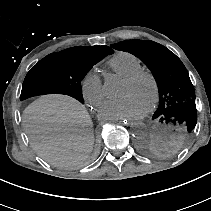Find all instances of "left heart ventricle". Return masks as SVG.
Masks as SVG:
<instances>
[{
	"label": "left heart ventricle",
	"instance_id": "1",
	"mask_svg": "<svg viewBox=\"0 0 211 211\" xmlns=\"http://www.w3.org/2000/svg\"><path fill=\"white\" fill-rule=\"evenodd\" d=\"M120 95L133 96L146 109L151 103L153 97V88L150 81L142 78L136 83H128L123 81L121 85Z\"/></svg>",
	"mask_w": 211,
	"mask_h": 211
}]
</instances>
